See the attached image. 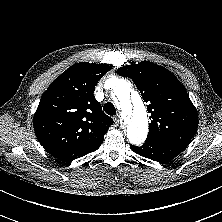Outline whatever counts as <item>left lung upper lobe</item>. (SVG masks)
<instances>
[{
  "label": "left lung upper lobe",
  "instance_id": "1",
  "mask_svg": "<svg viewBox=\"0 0 222 222\" xmlns=\"http://www.w3.org/2000/svg\"><path fill=\"white\" fill-rule=\"evenodd\" d=\"M131 78L147 102L151 123L147 140L190 143L198 127V114L186 89L167 69L152 62L123 66L117 70Z\"/></svg>",
  "mask_w": 222,
  "mask_h": 222
}]
</instances>
